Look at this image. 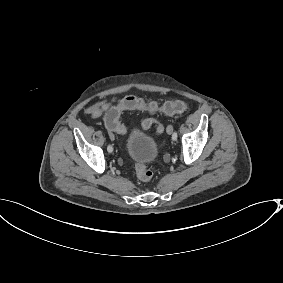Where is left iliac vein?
Wrapping results in <instances>:
<instances>
[{"instance_id":"left-iliac-vein-1","label":"left iliac vein","mask_w":283,"mask_h":283,"mask_svg":"<svg viewBox=\"0 0 283 283\" xmlns=\"http://www.w3.org/2000/svg\"><path fill=\"white\" fill-rule=\"evenodd\" d=\"M172 131H173V127H172L171 125L168 126V128H167V133H168V134H171Z\"/></svg>"}]
</instances>
